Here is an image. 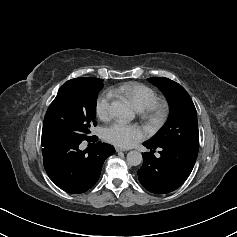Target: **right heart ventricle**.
I'll return each instance as SVG.
<instances>
[{"instance_id": "obj_1", "label": "right heart ventricle", "mask_w": 237, "mask_h": 237, "mask_svg": "<svg viewBox=\"0 0 237 237\" xmlns=\"http://www.w3.org/2000/svg\"><path fill=\"white\" fill-rule=\"evenodd\" d=\"M113 92L129 99L135 107L144 111L157 100L155 91L139 82H125L113 89Z\"/></svg>"}]
</instances>
